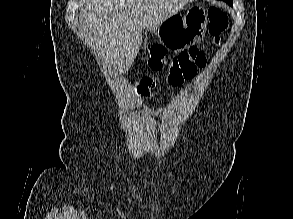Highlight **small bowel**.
I'll return each instance as SVG.
<instances>
[{"instance_id":"1","label":"small bowel","mask_w":293,"mask_h":219,"mask_svg":"<svg viewBox=\"0 0 293 219\" xmlns=\"http://www.w3.org/2000/svg\"><path fill=\"white\" fill-rule=\"evenodd\" d=\"M155 87V82L151 78H144L138 87V94L143 97H149L151 90Z\"/></svg>"}]
</instances>
